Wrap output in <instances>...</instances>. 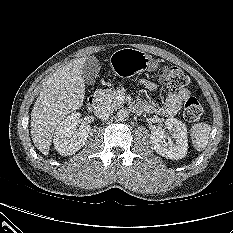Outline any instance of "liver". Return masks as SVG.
<instances>
[{"instance_id": "obj_1", "label": "liver", "mask_w": 233, "mask_h": 233, "mask_svg": "<svg viewBox=\"0 0 233 233\" xmlns=\"http://www.w3.org/2000/svg\"><path fill=\"white\" fill-rule=\"evenodd\" d=\"M88 57L74 59L49 77L31 112V137L37 149L48 155L53 133L68 114L83 105L82 69Z\"/></svg>"}]
</instances>
